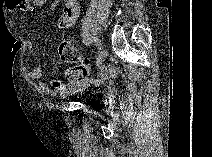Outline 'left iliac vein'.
Listing matches in <instances>:
<instances>
[{
	"instance_id": "obj_1",
	"label": "left iliac vein",
	"mask_w": 212,
	"mask_h": 157,
	"mask_svg": "<svg viewBox=\"0 0 212 157\" xmlns=\"http://www.w3.org/2000/svg\"><path fill=\"white\" fill-rule=\"evenodd\" d=\"M107 57V50L105 48H102L99 54V57L97 58V66H100Z\"/></svg>"
}]
</instances>
